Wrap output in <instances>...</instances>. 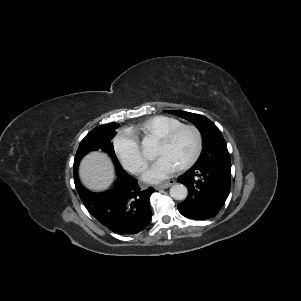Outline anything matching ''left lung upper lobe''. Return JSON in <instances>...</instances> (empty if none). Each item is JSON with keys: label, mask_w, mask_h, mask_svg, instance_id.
I'll list each match as a JSON object with an SVG mask.
<instances>
[{"label": "left lung upper lobe", "mask_w": 301, "mask_h": 301, "mask_svg": "<svg viewBox=\"0 0 301 301\" xmlns=\"http://www.w3.org/2000/svg\"><path fill=\"white\" fill-rule=\"evenodd\" d=\"M166 112L190 121L199 129L203 140V150L195 165H224L231 167L226 142L220 130L212 121L205 116L185 111L171 110Z\"/></svg>", "instance_id": "5c2ea615"}]
</instances>
